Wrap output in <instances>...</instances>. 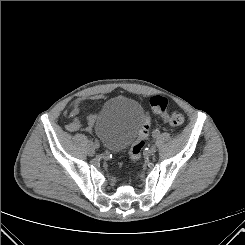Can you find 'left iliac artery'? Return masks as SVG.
Here are the masks:
<instances>
[{"label":"left iliac artery","instance_id":"44dca946","mask_svg":"<svg viewBox=\"0 0 245 245\" xmlns=\"http://www.w3.org/2000/svg\"><path fill=\"white\" fill-rule=\"evenodd\" d=\"M153 138H156V137H160L161 136V131L160 130H155L154 132H153Z\"/></svg>","mask_w":245,"mask_h":245}]
</instances>
